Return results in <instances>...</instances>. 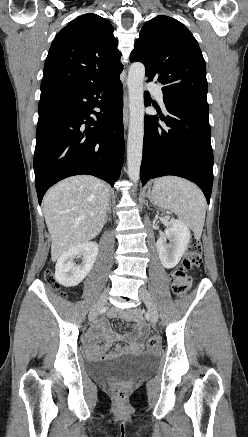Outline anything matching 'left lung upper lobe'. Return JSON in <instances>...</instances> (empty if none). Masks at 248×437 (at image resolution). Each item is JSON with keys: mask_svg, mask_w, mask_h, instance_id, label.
I'll list each match as a JSON object with an SVG mask.
<instances>
[{"mask_svg": "<svg viewBox=\"0 0 248 437\" xmlns=\"http://www.w3.org/2000/svg\"><path fill=\"white\" fill-rule=\"evenodd\" d=\"M130 61L142 62L148 81L163 85L164 101L208 104L202 52L192 33L176 19L157 16L146 22Z\"/></svg>", "mask_w": 248, "mask_h": 437, "instance_id": "1", "label": "left lung upper lobe"}]
</instances>
